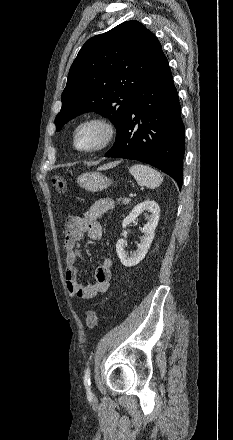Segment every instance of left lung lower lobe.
Segmentation results:
<instances>
[{
  "label": "left lung lower lobe",
  "instance_id": "1",
  "mask_svg": "<svg viewBox=\"0 0 233 440\" xmlns=\"http://www.w3.org/2000/svg\"><path fill=\"white\" fill-rule=\"evenodd\" d=\"M168 61L162 53L133 97L116 142L105 155L150 164L182 186L185 127Z\"/></svg>",
  "mask_w": 233,
  "mask_h": 440
}]
</instances>
